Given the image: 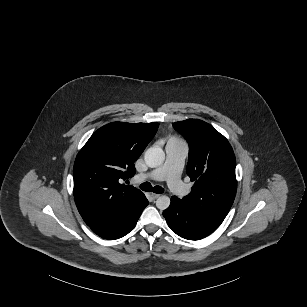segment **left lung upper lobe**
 Segmentation results:
<instances>
[{"instance_id":"obj_1","label":"left lung upper lobe","mask_w":307,"mask_h":307,"mask_svg":"<svg viewBox=\"0 0 307 307\" xmlns=\"http://www.w3.org/2000/svg\"><path fill=\"white\" fill-rule=\"evenodd\" d=\"M189 143L187 174L195 181L182 201L200 218L219 226L228 214L237 188L236 159L227 139L210 124L188 119L173 123Z\"/></svg>"}]
</instances>
